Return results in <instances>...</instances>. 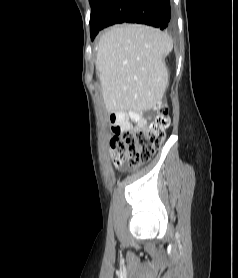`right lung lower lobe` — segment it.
Listing matches in <instances>:
<instances>
[{
    "instance_id": "1",
    "label": "right lung lower lobe",
    "mask_w": 238,
    "mask_h": 278,
    "mask_svg": "<svg viewBox=\"0 0 238 278\" xmlns=\"http://www.w3.org/2000/svg\"><path fill=\"white\" fill-rule=\"evenodd\" d=\"M170 18V0H96L90 16L91 39L104 27L121 22L147 24L164 30Z\"/></svg>"
}]
</instances>
